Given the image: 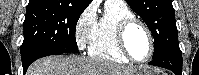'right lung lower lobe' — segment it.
Wrapping results in <instances>:
<instances>
[{
    "mask_svg": "<svg viewBox=\"0 0 199 75\" xmlns=\"http://www.w3.org/2000/svg\"><path fill=\"white\" fill-rule=\"evenodd\" d=\"M56 54H68V53L56 51L54 49L46 48L40 45L34 46L30 49L21 52L23 73L25 74L29 65L35 60L45 56L56 55Z\"/></svg>",
    "mask_w": 199,
    "mask_h": 75,
    "instance_id": "obj_1",
    "label": "right lung lower lobe"
}]
</instances>
